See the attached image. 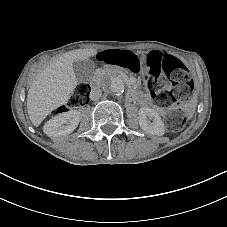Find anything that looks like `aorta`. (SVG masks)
I'll use <instances>...</instances> for the list:
<instances>
[{
    "label": "aorta",
    "mask_w": 227,
    "mask_h": 227,
    "mask_svg": "<svg viewBox=\"0 0 227 227\" xmlns=\"http://www.w3.org/2000/svg\"><path fill=\"white\" fill-rule=\"evenodd\" d=\"M103 86L113 94H122L125 90V83L118 75L110 76L104 81Z\"/></svg>",
    "instance_id": "obj_1"
}]
</instances>
